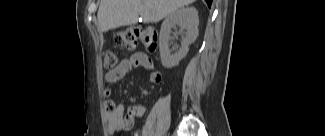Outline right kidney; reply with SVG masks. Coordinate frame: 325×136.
<instances>
[{"label":"right kidney","mask_w":325,"mask_h":136,"mask_svg":"<svg viewBox=\"0 0 325 136\" xmlns=\"http://www.w3.org/2000/svg\"><path fill=\"white\" fill-rule=\"evenodd\" d=\"M178 25L186 30L185 37L182 39L179 50L170 49L171 29ZM199 18L195 7H181L169 14L161 25L159 36V47L162 65L165 68H172L179 64L184 58L191 45L198 36Z\"/></svg>","instance_id":"right-kidney-1"}]
</instances>
